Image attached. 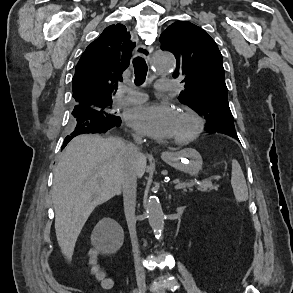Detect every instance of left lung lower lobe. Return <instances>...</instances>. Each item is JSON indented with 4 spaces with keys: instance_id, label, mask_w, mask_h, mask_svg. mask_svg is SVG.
Listing matches in <instances>:
<instances>
[{
    "instance_id": "1",
    "label": "left lung lower lobe",
    "mask_w": 293,
    "mask_h": 293,
    "mask_svg": "<svg viewBox=\"0 0 293 293\" xmlns=\"http://www.w3.org/2000/svg\"><path fill=\"white\" fill-rule=\"evenodd\" d=\"M227 135H229V136H231V137H233V138H235V139H237L239 141L237 133H231L230 132V133H227Z\"/></svg>"
}]
</instances>
